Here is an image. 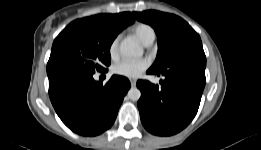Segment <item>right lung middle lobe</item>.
<instances>
[{
    "instance_id": "1",
    "label": "right lung middle lobe",
    "mask_w": 261,
    "mask_h": 150,
    "mask_svg": "<svg viewBox=\"0 0 261 150\" xmlns=\"http://www.w3.org/2000/svg\"><path fill=\"white\" fill-rule=\"evenodd\" d=\"M120 30L107 24L78 19L54 40L47 63V75L106 71L111 62L110 47Z\"/></svg>"
}]
</instances>
